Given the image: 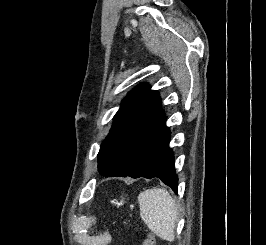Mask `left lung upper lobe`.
<instances>
[{
    "label": "left lung upper lobe",
    "mask_w": 266,
    "mask_h": 245,
    "mask_svg": "<svg viewBox=\"0 0 266 245\" xmlns=\"http://www.w3.org/2000/svg\"><path fill=\"white\" fill-rule=\"evenodd\" d=\"M161 98L141 84L122 101L109 135L98 153V171L105 176L124 175L134 162L141 140L165 116Z\"/></svg>",
    "instance_id": "left-lung-upper-lobe-1"
}]
</instances>
